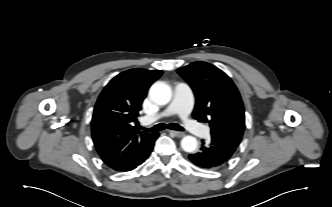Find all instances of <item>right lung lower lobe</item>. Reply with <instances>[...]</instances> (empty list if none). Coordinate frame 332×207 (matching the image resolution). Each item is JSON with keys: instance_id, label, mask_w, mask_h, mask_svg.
<instances>
[{"instance_id": "obj_1", "label": "right lung lower lobe", "mask_w": 332, "mask_h": 207, "mask_svg": "<svg viewBox=\"0 0 332 207\" xmlns=\"http://www.w3.org/2000/svg\"><path fill=\"white\" fill-rule=\"evenodd\" d=\"M159 136L158 133H155L153 135V137L151 138L150 142H149V145L147 146L146 150L144 153H142V155L134 160L132 163L126 165V166H123V167H115V168H112L116 171H131L133 169H135L138 165L142 164L150 155L152 149H153V146H154V142L155 140L157 139V137Z\"/></svg>"}]
</instances>
